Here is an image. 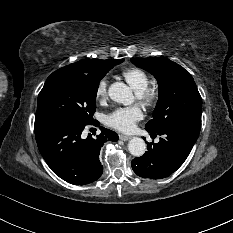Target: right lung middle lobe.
Wrapping results in <instances>:
<instances>
[{
    "label": "right lung middle lobe",
    "mask_w": 233,
    "mask_h": 233,
    "mask_svg": "<svg viewBox=\"0 0 233 233\" xmlns=\"http://www.w3.org/2000/svg\"><path fill=\"white\" fill-rule=\"evenodd\" d=\"M123 59L106 60L96 71L85 73L63 67L53 72L38 95L35 120L58 119L90 124L96 110L100 80Z\"/></svg>",
    "instance_id": "right-lung-middle-lobe-1"
}]
</instances>
